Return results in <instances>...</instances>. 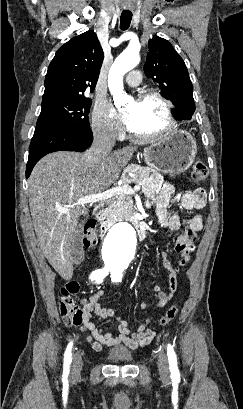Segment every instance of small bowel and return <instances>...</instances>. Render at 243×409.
Wrapping results in <instances>:
<instances>
[{
  "mask_svg": "<svg viewBox=\"0 0 243 409\" xmlns=\"http://www.w3.org/2000/svg\"><path fill=\"white\" fill-rule=\"evenodd\" d=\"M144 190L150 198V204L154 207L160 225L172 231L178 230L182 225L181 218L178 215H168L166 210L174 192L173 186L163 182L159 176H153L145 185ZM180 203L186 210L200 209L206 203V191L203 188H197L184 192L180 197ZM203 226V220L200 216L195 215L189 219L184 233L176 240L175 251L179 255V259L174 265L169 261L165 252L161 253L163 267L168 272L169 293L164 292L159 285L154 286L153 296L156 299L155 305L157 308L164 307L177 291V276L189 261L190 255L195 249L197 234L203 229ZM103 296L104 291L99 290L89 299H81L84 316L80 329L83 332H89L87 340L91 343L93 349L100 351L105 346L119 344L137 349L150 344L156 336V331L149 326L150 318H145L139 324L129 326L126 321L116 316L112 309L102 305L101 299ZM147 307L148 303L145 301L139 304L141 310H145ZM93 314L97 315L100 322L113 323L119 334L115 336L92 323L90 319Z\"/></svg>",
  "mask_w": 243,
  "mask_h": 409,
  "instance_id": "c3829d8e",
  "label": "small bowel"
}]
</instances>
